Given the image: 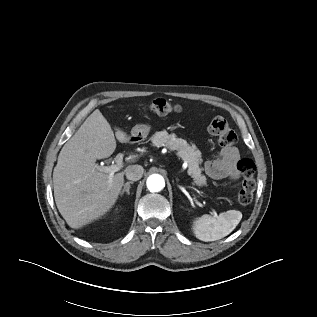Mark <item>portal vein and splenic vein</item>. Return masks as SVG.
Segmentation results:
<instances>
[{
  "label": "portal vein and splenic vein",
  "instance_id": "1",
  "mask_svg": "<svg viewBox=\"0 0 317 317\" xmlns=\"http://www.w3.org/2000/svg\"><path fill=\"white\" fill-rule=\"evenodd\" d=\"M122 160H123V154L119 153L116 158L115 162L116 164H112L111 166L104 167L103 170L107 173H109L110 176L114 175L115 172L119 171L123 166H122ZM111 182V179H110ZM215 217H218V214L215 210L212 209L211 212Z\"/></svg>",
  "mask_w": 317,
  "mask_h": 317
}]
</instances>
